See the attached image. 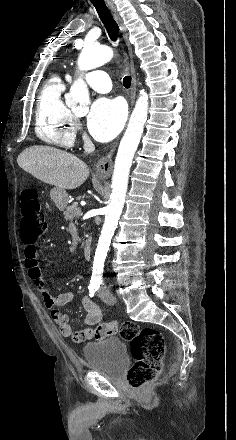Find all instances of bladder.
Segmentation results:
<instances>
[{"label": "bladder", "mask_w": 236, "mask_h": 440, "mask_svg": "<svg viewBox=\"0 0 236 440\" xmlns=\"http://www.w3.org/2000/svg\"><path fill=\"white\" fill-rule=\"evenodd\" d=\"M82 351L88 369L112 378L119 377L129 361L126 343L115 336L89 342Z\"/></svg>", "instance_id": "31cf9c89"}]
</instances>
